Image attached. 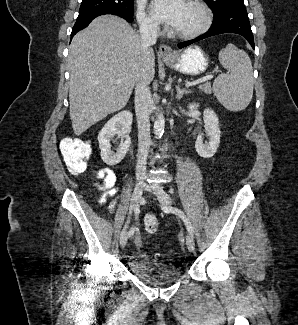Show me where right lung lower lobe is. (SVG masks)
Segmentation results:
<instances>
[{
  "label": "right lung lower lobe",
  "instance_id": "right-lung-lower-lobe-1",
  "mask_svg": "<svg viewBox=\"0 0 298 325\" xmlns=\"http://www.w3.org/2000/svg\"><path fill=\"white\" fill-rule=\"evenodd\" d=\"M102 14H114V15H118L122 18H124L125 20H127L128 22H132L133 21V16H128V15H122V14H118V13H112V12H101L92 16H87V17H83V18H77V21L74 25V27L72 28V33H71V38L80 30L84 29L85 27H87L89 25V23L97 16L102 15Z\"/></svg>",
  "mask_w": 298,
  "mask_h": 325
}]
</instances>
